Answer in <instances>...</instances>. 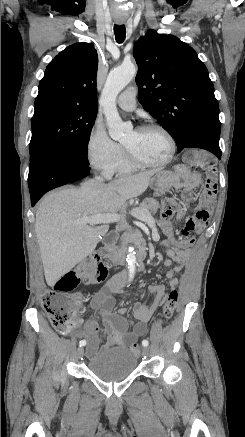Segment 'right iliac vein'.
<instances>
[{
	"mask_svg": "<svg viewBox=\"0 0 245 437\" xmlns=\"http://www.w3.org/2000/svg\"><path fill=\"white\" fill-rule=\"evenodd\" d=\"M83 353H84V349H83V347H79V348L77 349V356H78V357H81V356L83 355Z\"/></svg>",
	"mask_w": 245,
	"mask_h": 437,
	"instance_id": "right-iliac-vein-1",
	"label": "right iliac vein"
}]
</instances>
